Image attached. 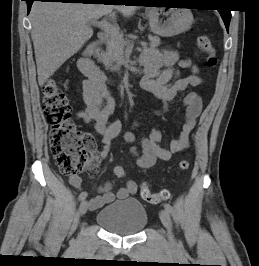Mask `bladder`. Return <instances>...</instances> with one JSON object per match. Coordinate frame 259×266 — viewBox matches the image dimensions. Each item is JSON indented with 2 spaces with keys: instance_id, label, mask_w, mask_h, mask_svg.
<instances>
[{
  "instance_id": "1",
  "label": "bladder",
  "mask_w": 259,
  "mask_h": 266,
  "mask_svg": "<svg viewBox=\"0 0 259 266\" xmlns=\"http://www.w3.org/2000/svg\"><path fill=\"white\" fill-rule=\"evenodd\" d=\"M148 221L145 207L136 199H126L106 205L96 215V222L105 230L131 236L140 233Z\"/></svg>"
}]
</instances>
